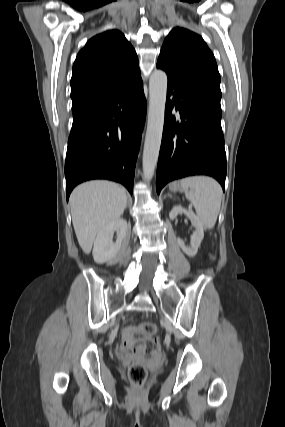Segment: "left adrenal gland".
<instances>
[{"mask_svg": "<svg viewBox=\"0 0 285 427\" xmlns=\"http://www.w3.org/2000/svg\"><path fill=\"white\" fill-rule=\"evenodd\" d=\"M166 196H169V197H171V196H170V194H168V195H166ZM166 196H165V198H166Z\"/></svg>", "mask_w": 285, "mask_h": 427, "instance_id": "a2214340", "label": "left adrenal gland"}]
</instances>
